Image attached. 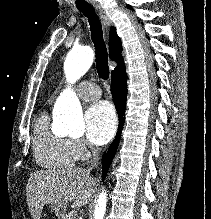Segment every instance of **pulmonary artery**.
<instances>
[{"label": "pulmonary artery", "mask_w": 211, "mask_h": 219, "mask_svg": "<svg viewBox=\"0 0 211 219\" xmlns=\"http://www.w3.org/2000/svg\"><path fill=\"white\" fill-rule=\"evenodd\" d=\"M78 94L85 101H95L101 97L99 86L93 82L83 81L78 85Z\"/></svg>", "instance_id": "pulmonary-artery-1"}]
</instances>
